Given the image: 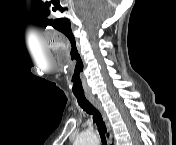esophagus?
<instances>
[{"instance_id":"34e87169","label":"esophagus","mask_w":176,"mask_h":145,"mask_svg":"<svg viewBox=\"0 0 176 145\" xmlns=\"http://www.w3.org/2000/svg\"><path fill=\"white\" fill-rule=\"evenodd\" d=\"M87 98L94 105V107L101 113L102 118H103V120H104V122H105V124H106V126H107V128L109 130L110 124L108 122V118H107L106 112L104 111L101 103L96 98H94L91 95H88Z\"/></svg>"}]
</instances>
